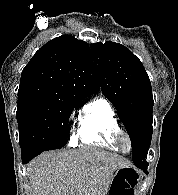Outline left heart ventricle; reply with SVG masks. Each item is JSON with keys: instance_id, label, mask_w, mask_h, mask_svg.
Returning a JSON list of instances; mask_svg holds the SVG:
<instances>
[{"instance_id": "left-heart-ventricle-1", "label": "left heart ventricle", "mask_w": 178, "mask_h": 195, "mask_svg": "<svg viewBox=\"0 0 178 195\" xmlns=\"http://www.w3.org/2000/svg\"><path fill=\"white\" fill-rule=\"evenodd\" d=\"M124 149H126V150L128 149V144H127V142L124 143Z\"/></svg>"}]
</instances>
